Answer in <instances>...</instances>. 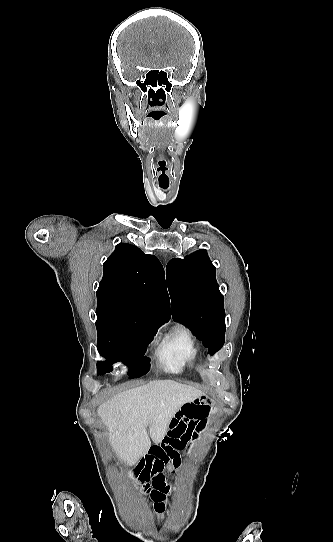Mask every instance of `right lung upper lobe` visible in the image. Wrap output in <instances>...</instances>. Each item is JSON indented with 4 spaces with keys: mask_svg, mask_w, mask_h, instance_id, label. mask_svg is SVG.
<instances>
[{
    "mask_svg": "<svg viewBox=\"0 0 333 542\" xmlns=\"http://www.w3.org/2000/svg\"><path fill=\"white\" fill-rule=\"evenodd\" d=\"M96 311H110L145 319L159 327L170 319L165 273L154 255L120 243L103 264Z\"/></svg>",
    "mask_w": 333,
    "mask_h": 542,
    "instance_id": "cb5924a9",
    "label": "right lung upper lobe"
}]
</instances>
